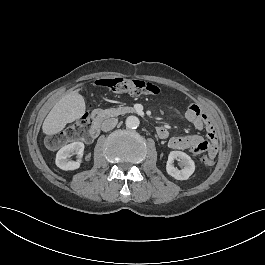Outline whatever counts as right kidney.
<instances>
[{"instance_id":"1","label":"right kidney","mask_w":265,"mask_h":265,"mask_svg":"<svg viewBox=\"0 0 265 265\" xmlns=\"http://www.w3.org/2000/svg\"><path fill=\"white\" fill-rule=\"evenodd\" d=\"M84 143L82 141L72 142L63 146L56 153V166L63 171H74L81 167V164L77 161H67L72 153L78 154L80 157L83 155Z\"/></svg>"}]
</instances>
